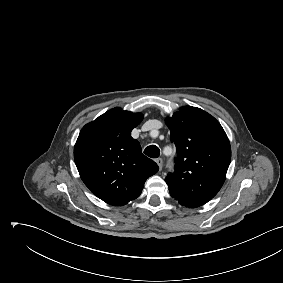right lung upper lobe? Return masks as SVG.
Masks as SVG:
<instances>
[{"instance_id":"cb5924a9","label":"right lung upper lobe","mask_w":283,"mask_h":283,"mask_svg":"<svg viewBox=\"0 0 283 283\" xmlns=\"http://www.w3.org/2000/svg\"><path fill=\"white\" fill-rule=\"evenodd\" d=\"M143 119L141 113L116 107L86 124L74 147L80 177L104 202L123 206L142 192L158 165L142 154L131 131Z\"/></svg>"}]
</instances>
